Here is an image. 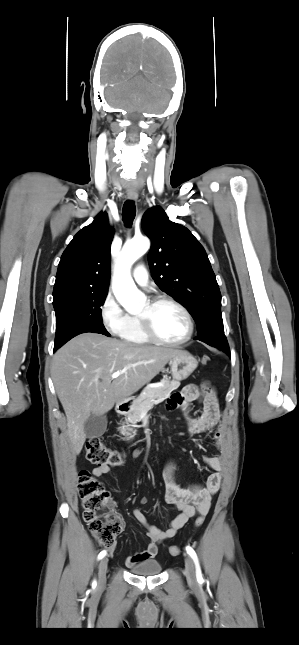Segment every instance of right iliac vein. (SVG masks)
<instances>
[{"label":"right iliac vein","instance_id":"63e3f726","mask_svg":"<svg viewBox=\"0 0 299 645\" xmlns=\"http://www.w3.org/2000/svg\"><path fill=\"white\" fill-rule=\"evenodd\" d=\"M107 565H108V558L105 557L99 563L98 584L100 587L104 586L106 583Z\"/></svg>","mask_w":299,"mask_h":645}]
</instances>
